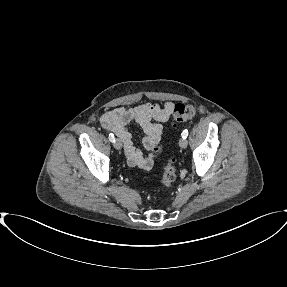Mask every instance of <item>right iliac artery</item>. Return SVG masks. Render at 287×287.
I'll return each instance as SVG.
<instances>
[{
    "label": "right iliac artery",
    "mask_w": 287,
    "mask_h": 287,
    "mask_svg": "<svg viewBox=\"0 0 287 287\" xmlns=\"http://www.w3.org/2000/svg\"><path fill=\"white\" fill-rule=\"evenodd\" d=\"M109 140L111 142H115V137H114V135L112 133L109 134Z\"/></svg>",
    "instance_id": "82829eb1"
}]
</instances>
